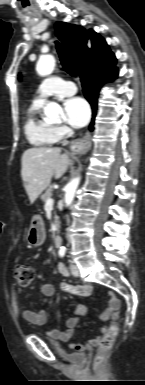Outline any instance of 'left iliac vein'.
<instances>
[{
    "label": "left iliac vein",
    "mask_w": 145,
    "mask_h": 385,
    "mask_svg": "<svg viewBox=\"0 0 145 385\" xmlns=\"http://www.w3.org/2000/svg\"><path fill=\"white\" fill-rule=\"evenodd\" d=\"M71 273L75 277H78L80 274L78 266L74 263H71Z\"/></svg>",
    "instance_id": "4c4485c4"
}]
</instances>
